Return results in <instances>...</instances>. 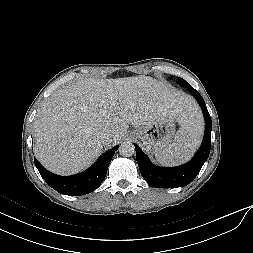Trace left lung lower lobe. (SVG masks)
<instances>
[{
	"mask_svg": "<svg viewBox=\"0 0 253 253\" xmlns=\"http://www.w3.org/2000/svg\"><path fill=\"white\" fill-rule=\"evenodd\" d=\"M188 91L198 101L202 108L205 119V133L201 147L188 163L172 168H161L154 166L142 150L136 145V159L141 175L148 184L156 188H176L186 186L191 183L200 172L206 162L211 147L212 122L206 104L191 85L187 86Z\"/></svg>",
	"mask_w": 253,
	"mask_h": 253,
	"instance_id": "1",
	"label": "left lung lower lobe"
}]
</instances>
